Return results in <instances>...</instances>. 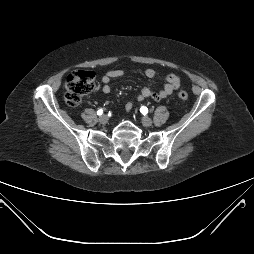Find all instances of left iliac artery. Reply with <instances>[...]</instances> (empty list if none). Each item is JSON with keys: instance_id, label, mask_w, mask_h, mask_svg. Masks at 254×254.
Instances as JSON below:
<instances>
[{"instance_id": "1", "label": "left iliac artery", "mask_w": 254, "mask_h": 254, "mask_svg": "<svg viewBox=\"0 0 254 254\" xmlns=\"http://www.w3.org/2000/svg\"><path fill=\"white\" fill-rule=\"evenodd\" d=\"M140 112H141L143 115H146V114L148 113V108L145 107V106H142V107L140 108Z\"/></svg>"}]
</instances>
